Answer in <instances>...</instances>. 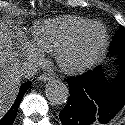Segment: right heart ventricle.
Returning a JSON list of instances; mask_svg holds the SVG:
<instances>
[{
    "label": "right heart ventricle",
    "mask_w": 125,
    "mask_h": 125,
    "mask_svg": "<svg viewBox=\"0 0 125 125\" xmlns=\"http://www.w3.org/2000/svg\"><path fill=\"white\" fill-rule=\"evenodd\" d=\"M90 20L77 16H63L35 23L32 44L41 53H55L59 46Z\"/></svg>",
    "instance_id": "obj_1"
}]
</instances>
